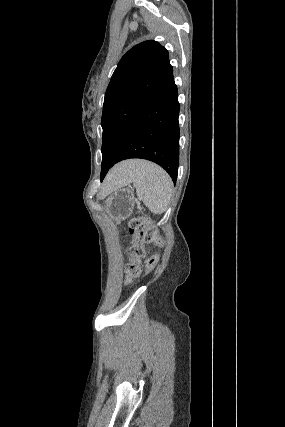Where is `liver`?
<instances>
[{
    "instance_id": "6515ba94",
    "label": "liver",
    "mask_w": 285,
    "mask_h": 427,
    "mask_svg": "<svg viewBox=\"0 0 285 427\" xmlns=\"http://www.w3.org/2000/svg\"><path fill=\"white\" fill-rule=\"evenodd\" d=\"M138 163V160H130L112 168L103 184V192L108 194L113 189L123 186L129 178L130 170Z\"/></svg>"
}]
</instances>
